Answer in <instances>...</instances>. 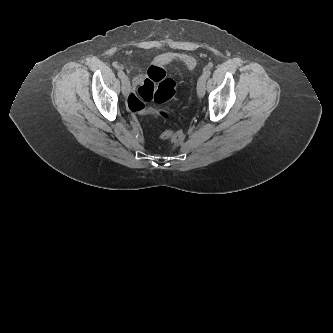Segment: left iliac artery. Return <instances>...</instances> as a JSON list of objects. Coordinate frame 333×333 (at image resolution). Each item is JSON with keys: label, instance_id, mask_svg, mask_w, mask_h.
<instances>
[{"label": "left iliac artery", "instance_id": "obj_1", "mask_svg": "<svg viewBox=\"0 0 333 333\" xmlns=\"http://www.w3.org/2000/svg\"><path fill=\"white\" fill-rule=\"evenodd\" d=\"M210 76V71H204L202 79L206 80Z\"/></svg>", "mask_w": 333, "mask_h": 333}]
</instances>
